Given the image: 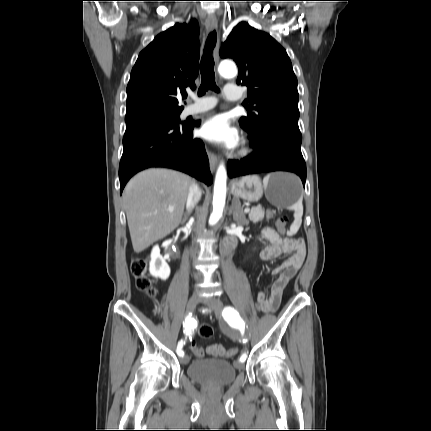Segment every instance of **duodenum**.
<instances>
[{"mask_svg": "<svg viewBox=\"0 0 431 431\" xmlns=\"http://www.w3.org/2000/svg\"><path fill=\"white\" fill-rule=\"evenodd\" d=\"M232 244H233L232 242H228L226 245V250H228L232 246Z\"/></svg>", "mask_w": 431, "mask_h": 431, "instance_id": "410a0bca", "label": "duodenum"}]
</instances>
